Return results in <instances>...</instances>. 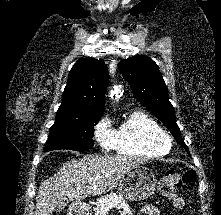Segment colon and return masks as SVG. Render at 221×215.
<instances>
[{"instance_id": "5ec220e1", "label": "colon", "mask_w": 221, "mask_h": 215, "mask_svg": "<svg viewBox=\"0 0 221 215\" xmlns=\"http://www.w3.org/2000/svg\"><path fill=\"white\" fill-rule=\"evenodd\" d=\"M196 174L193 170L187 169L183 172L168 170L164 173L158 186L159 193L169 199L178 208H184L185 202L178 195L176 189L184 184H189L195 180Z\"/></svg>"}]
</instances>
